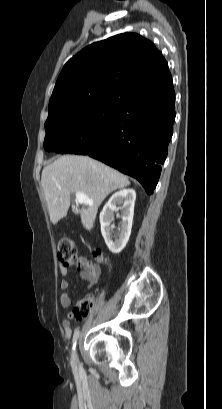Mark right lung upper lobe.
I'll use <instances>...</instances> for the list:
<instances>
[{
	"label": "right lung upper lobe",
	"mask_w": 222,
	"mask_h": 409,
	"mask_svg": "<svg viewBox=\"0 0 222 409\" xmlns=\"http://www.w3.org/2000/svg\"><path fill=\"white\" fill-rule=\"evenodd\" d=\"M168 64L148 39L123 33L93 43L63 67L54 87L49 113L75 104L123 103L163 94L170 84Z\"/></svg>",
	"instance_id": "right-lung-upper-lobe-1"
}]
</instances>
